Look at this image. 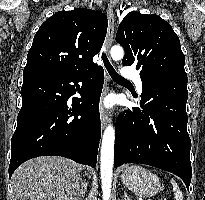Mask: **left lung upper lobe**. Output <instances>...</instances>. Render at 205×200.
<instances>
[{"label":"left lung upper lobe","instance_id":"obj_1","mask_svg":"<svg viewBox=\"0 0 205 200\" xmlns=\"http://www.w3.org/2000/svg\"><path fill=\"white\" fill-rule=\"evenodd\" d=\"M116 41L125 50L123 65H136L140 78L185 73V56L172 27L157 15L129 12L119 25Z\"/></svg>","mask_w":205,"mask_h":200}]
</instances>
